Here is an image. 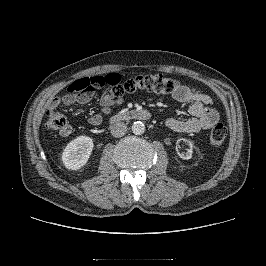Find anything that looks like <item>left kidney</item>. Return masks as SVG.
Listing matches in <instances>:
<instances>
[{"instance_id":"1","label":"left kidney","mask_w":266,"mask_h":266,"mask_svg":"<svg viewBox=\"0 0 266 266\" xmlns=\"http://www.w3.org/2000/svg\"><path fill=\"white\" fill-rule=\"evenodd\" d=\"M180 141H184V142H188V144H189V146H190V148L188 149V151H187V153L184 155V154H178L179 156H180V158H182V159H185V160H189V159H191L192 158V148H193V145H192V143H191V141H188L187 139H178L177 140V143H179Z\"/></svg>"}]
</instances>
